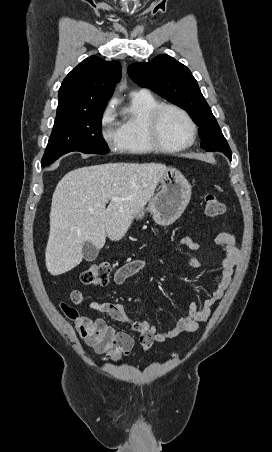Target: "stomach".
<instances>
[{
  "mask_svg": "<svg viewBox=\"0 0 272 452\" xmlns=\"http://www.w3.org/2000/svg\"><path fill=\"white\" fill-rule=\"evenodd\" d=\"M160 191L153 196L148 206L140 210L135 219H143L148 211L156 224L172 225L186 209L191 198V185L176 168H167L159 180Z\"/></svg>",
  "mask_w": 272,
  "mask_h": 452,
  "instance_id": "0dacf381",
  "label": "stomach"
}]
</instances>
